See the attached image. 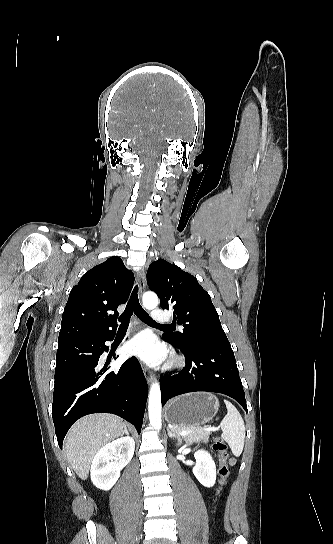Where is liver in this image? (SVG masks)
<instances>
[{"mask_svg": "<svg viewBox=\"0 0 333 544\" xmlns=\"http://www.w3.org/2000/svg\"><path fill=\"white\" fill-rule=\"evenodd\" d=\"M125 424L113 415L94 414L77 421L65 439V454L78 477L88 478L96 453L124 434Z\"/></svg>", "mask_w": 333, "mask_h": 544, "instance_id": "obj_1", "label": "liver"}]
</instances>
